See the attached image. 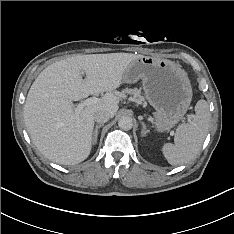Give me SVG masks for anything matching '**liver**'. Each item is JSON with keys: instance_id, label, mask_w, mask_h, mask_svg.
I'll return each instance as SVG.
<instances>
[{"instance_id": "obj_1", "label": "liver", "mask_w": 234, "mask_h": 234, "mask_svg": "<svg viewBox=\"0 0 234 234\" xmlns=\"http://www.w3.org/2000/svg\"><path fill=\"white\" fill-rule=\"evenodd\" d=\"M140 57L77 55L46 67L33 82L24 105L25 125L40 153L62 165L84 161L91 152L95 112L106 110L111 117L117 113L119 97L114 90L122 84L124 70ZM104 92L98 103L79 112L71 103Z\"/></svg>"}]
</instances>
